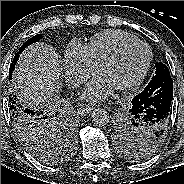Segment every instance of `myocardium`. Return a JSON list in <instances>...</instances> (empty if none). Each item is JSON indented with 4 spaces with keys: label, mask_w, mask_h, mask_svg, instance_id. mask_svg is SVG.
<instances>
[{
    "label": "myocardium",
    "mask_w": 184,
    "mask_h": 184,
    "mask_svg": "<svg viewBox=\"0 0 184 184\" xmlns=\"http://www.w3.org/2000/svg\"><path fill=\"white\" fill-rule=\"evenodd\" d=\"M133 46H142L147 51V59L145 61V64L140 71V73L127 85L117 88L120 92H129L135 90L145 79L150 66L152 62V51L149 45L139 39H135L126 43H123L120 45L117 49H115L110 55H108L99 65V71L102 72L103 69L113 63L115 60H117L127 49L133 47Z\"/></svg>",
    "instance_id": "myocardium-1"
}]
</instances>
